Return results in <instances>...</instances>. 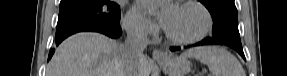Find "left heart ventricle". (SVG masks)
I'll return each mask as SVG.
<instances>
[{
  "label": "left heart ventricle",
  "instance_id": "b2bd125f",
  "mask_svg": "<svg viewBox=\"0 0 287 76\" xmlns=\"http://www.w3.org/2000/svg\"><path fill=\"white\" fill-rule=\"evenodd\" d=\"M203 14L195 7H176L166 30L173 36L187 38L197 34L204 26Z\"/></svg>",
  "mask_w": 287,
  "mask_h": 76
}]
</instances>
